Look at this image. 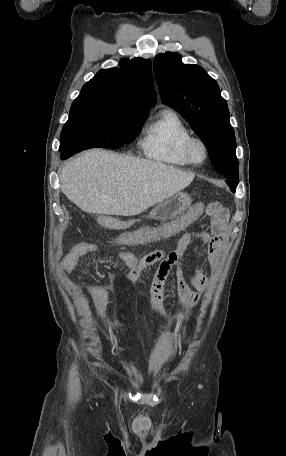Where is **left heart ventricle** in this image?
Listing matches in <instances>:
<instances>
[{"label":"left heart ventricle","mask_w":286,"mask_h":456,"mask_svg":"<svg viewBox=\"0 0 286 456\" xmlns=\"http://www.w3.org/2000/svg\"><path fill=\"white\" fill-rule=\"evenodd\" d=\"M203 149L199 144H195L192 148V157L195 161L199 162L203 159Z\"/></svg>","instance_id":"left-heart-ventricle-1"}]
</instances>
